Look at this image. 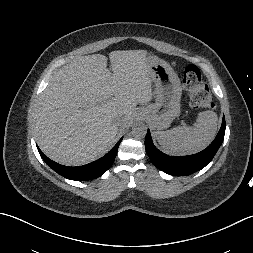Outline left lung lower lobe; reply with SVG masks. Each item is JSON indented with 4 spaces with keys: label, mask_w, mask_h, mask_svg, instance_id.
Returning <instances> with one entry per match:
<instances>
[{
    "label": "left lung lower lobe",
    "mask_w": 253,
    "mask_h": 253,
    "mask_svg": "<svg viewBox=\"0 0 253 253\" xmlns=\"http://www.w3.org/2000/svg\"><path fill=\"white\" fill-rule=\"evenodd\" d=\"M225 118L223 116L221 128L214 141L203 151L189 156L172 157L159 151L152 143L150 131L145 138L146 152L152 163L163 172L175 175H190L203 169L215 156L225 135Z\"/></svg>",
    "instance_id": "obj_1"
}]
</instances>
